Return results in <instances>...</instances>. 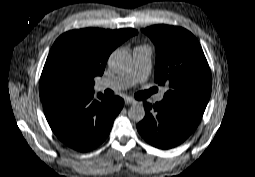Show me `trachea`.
<instances>
[{
  "label": "trachea",
  "mask_w": 255,
  "mask_h": 177,
  "mask_svg": "<svg viewBox=\"0 0 255 177\" xmlns=\"http://www.w3.org/2000/svg\"><path fill=\"white\" fill-rule=\"evenodd\" d=\"M152 92H142V93H138L135 95L136 98H140V97H147L151 94Z\"/></svg>",
  "instance_id": "3493384b"
}]
</instances>
